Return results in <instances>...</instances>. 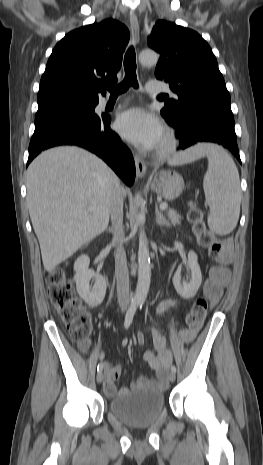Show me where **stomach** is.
<instances>
[{
    "instance_id": "0dacf381",
    "label": "stomach",
    "mask_w": 263,
    "mask_h": 465,
    "mask_svg": "<svg viewBox=\"0 0 263 465\" xmlns=\"http://www.w3.org/2000/svg\"><path fill=\"white\" fill-rule=\"evenodd\" d=\"M183 188V178L176 172L160 171L153 174L151 189L166 200L176 199Z\"/></svg>"
}]
</instances>
